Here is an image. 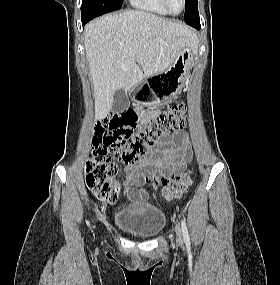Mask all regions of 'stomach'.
Listing matches in <instances>:
<instances>
[{"label": "stomach", "mask_w": 280, "mask_h": 285, "mask_svg": "<svg viewBox=\"0 0 280 285\" xmlns=\"http://www.w3.org/2000/svg\"><path fill=\"white\" fill-rule=\"evenodd\" d=\"M193 58L190 47L182 48L165 71L145 78L131 89L132 99L138 103L154 106L172 101L184 86Z\"/></svg>", "instance_id": "stomach-1"}]
</instances>
